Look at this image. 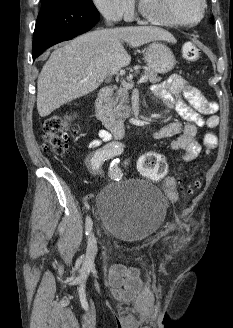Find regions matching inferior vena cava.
<instances>
[{
    "instance_id": "obj_1",
    "label": "inferior vena cava",
    "mask_w": 233,
    "mask_h": 328,
    "mask_svg": "<svg viewBox=\"0 0 233 328\" xmlns=\"http://www.w3.org/2000/svg\"><path fill=\"white\" fill-rule=\"evenodd\" d=\"M108 25H111L110 19L106 18Z\"/></svg>"
}]
</instances>
